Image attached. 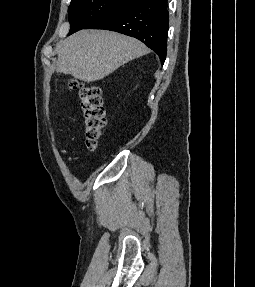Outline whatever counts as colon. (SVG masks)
I'll use <instances>...</instances> for the list:
<instances>
[{"instance_id": "5ec220e1", "label": "colon", "mask_w": 255, "mask_h": 287, "mask_svg": "<svg viewBox=\"0 0 255 287\" xmlns=\"http://www.w3.org/2000/svg\"><path fill=\"white\" fill-rule=\"evenodd\" d=\"M69 87L79 93L86 146L94 151L106 124L101 89L77 80H72Z\"/></svg>"}]
</instances>
